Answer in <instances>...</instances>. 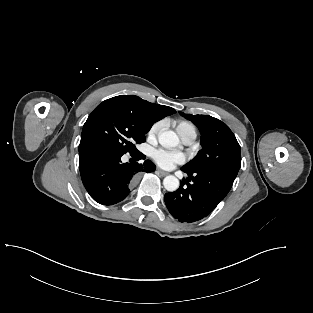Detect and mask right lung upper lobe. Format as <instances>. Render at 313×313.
Wrapping results in <instances>:
<instances>
[{
  "instance_id": "cb5924a9",
  "label": "right lung upper lobe",
  "mask_w": 313,
  "mask_h": 313,
  "mask_svg": "<svg viewBox=\"0 0 313 313\" xmlns=\"http://www.w3.org/2000/svg\"><path fill=\"white\" fill-rule=\"evenodd\" d=\"M111 99L120 100V101L129 103L133 107L137 108L143 113V115L147 118V120L152 123V125L156 121L168 115L174 114L176 112L171 107L150 103L135 95H120V96L113 97ZM83 148L85 147L82 145V142H80L79 150Z\"/></svg>"
}]
</instances>
